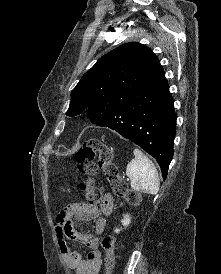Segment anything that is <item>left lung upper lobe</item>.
I'll use <instances>...</instances> for the list:
<instances>
[{"instance_id": "left-lung-upper-lobe-1", "label": "left lung upper lobe", "mask_w": 221, "mask_h": 274, "mask_svg": "<svg viewBox=\"0 0 221 274\" xmlns=\"http://www.w3.org/2000/svg\"><path fill=\"white\" fill-rule=\"evenodd\" d=\"M161 64L147 46L125 43L101 57L71 93L66 115L93 118L137 97Z\"/></svg>"}]
</instances>
